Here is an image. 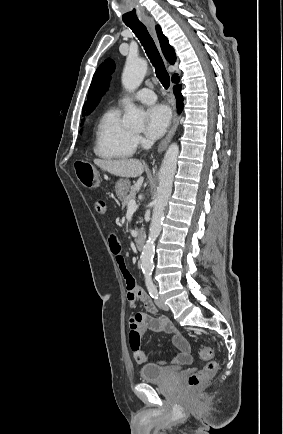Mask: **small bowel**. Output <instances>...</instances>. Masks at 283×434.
Instances as JSON below:
<instances>
[{"label": "small bowel", "instance_id": "obj_1", "mask_svg": "<svg viewBox=\"0 0 283 434\" xmlns=\"http://www.w3.org/2000/svg\"><path fill=\"white\" fill-rule=\"evenodd\" d=\"M95 210L100 215L106 214L108 210L106 202L103 200L96 201ZM108 242L110 250L116 257V262L125 281L128 301L132 306H134V303L137 300H140L143 302L145 309L150 314H158L156 306L146 293L136 284L134 278L127 270L124 257L121 255V245L116 235L110 234ZM150 314L137 312L129 319L130 346L136 363L140 365L147 363V357L140 348V339L148 330L162 331L171 334L172 343L179 350V352L169 361H158L159 365L181 366L189 363L191 361L190 344L184 338L182 333L166 316L159 315L158 317H153Z\"/></svg>", "mask_w": 283, "mask_h": 434}]
</instances>
